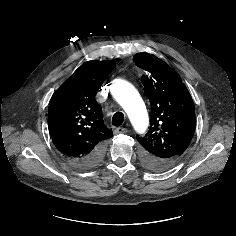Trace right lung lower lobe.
I'll use <instances>...</instances> for the list:
<instances>
[{"label": "right lung lower lobe", "mask_w": 236, "mask_h": 236, "mask_svg": "<svg viewBox=\"0 0 236 236\" xmlns=\"http://www.w3.org/2000/svg\"><path fill=\"white\" fill-rule=\"evenodd\" d=\"M106 150V143L102 142L95 147V149L88 155L80 158H66L68 162L78 169H92L99 165L103 160Z\"/></svg>", "instance_id": "right-lung-lower-lobe-1"}]
</instances>
